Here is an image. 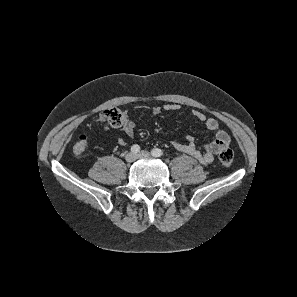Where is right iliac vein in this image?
<instances>
[{
    "instance_id": "obj_1",
    "label": "right iliac vein",
    "mask_w": 297,
    "mask_h": 297,
    "mask_svg": "<svg viewBox=\"0 0 297 297\" xmlns=\"http://www.w3.org/2000/svg\"><path fill=\"white\" fill-rule=\"evenodd\" d=\"M136 155L133 153V152H129V153H127L126 155H125V160L127 161V162H133V161H135L136 160Z\"/></svg>"
}]
</instances>
